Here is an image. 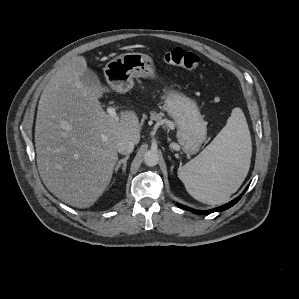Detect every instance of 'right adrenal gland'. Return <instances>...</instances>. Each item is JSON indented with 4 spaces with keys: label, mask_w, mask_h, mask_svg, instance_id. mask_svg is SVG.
<instances>
[{
    "label": "right adrenal gland",
    "mask_w": 299,
    "mask_h": 299,
    "mask_svg": "<svg viewBox=\"0 0 299 299\" xmlns=\"http://www.w3.org/2000/svg\"><path fill=\"white\" fill-rule=\"evenodd\" d=\"M129 159V155H127L125 158L120 159L115 167V173L118 172L119 168L122 166V171L125 174L126 173V167H127V160Z\"/></svg>",
    "instance_id": "1"
}]
</instances>
